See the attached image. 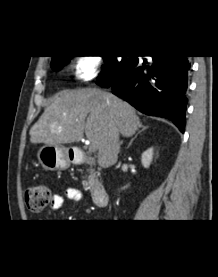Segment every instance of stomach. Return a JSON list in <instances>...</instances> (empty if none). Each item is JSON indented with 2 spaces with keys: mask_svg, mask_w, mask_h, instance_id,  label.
Returning <instances> with one entry per match:
<instances>
[{
  "mask_svg": "<svg viewBox=\"0 0 218 277\" xmlns=\"http://www.w3.org/2000/svg\"><path fill=\"white\" fill-rule=\"evenodd\" d=\"M37 157L45 170H63L70 166L68 150L63 146L45 145L40 148Z\"/></svg>",
  "mask_w": 218,
  "mask_h": 277,
  "instance_id": "stomach-1",
  "label": "stomach"
}]
</instances>
